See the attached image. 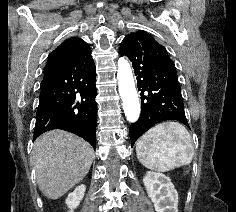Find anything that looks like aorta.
<instances>
[{"instance_id": "762f6f07", "label": "aorta", "mask_w": 236, "mask_h": 212, "mask_svg": "<svg viewBox=\"0 0 236 212\" xmlns=\"http://www.w3.org/2000/svg\"><path fill=\"white\" fill-rule=\"evenodd\" d=\"M117 79L125 116L129 122H136L140 115V102L131 66L125 58L118 59Z\"/></svg>"}]
</instances>
